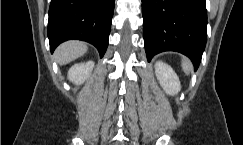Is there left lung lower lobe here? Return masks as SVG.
Listing matches in <instances>:
<instances>
[{
    "label": "left lung lower lobe",
    "instance_id": "0a47b994",
    "mask_svg": "<svg viewBox=\"0 0 243 145\" xmlns=\"http://www.w3.org/2000/svg\"><path fill=\"white\" fill-rule=\"evenodd\" d=\"M142 12L148 61L157 53L176 51L197 69L207 41L205 0H142Z\"/></svg>",
    "mask_w": 243,
    "mask_h": 145
}]
</instances>
